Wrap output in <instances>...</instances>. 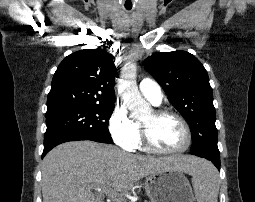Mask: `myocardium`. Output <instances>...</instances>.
Masks as SVG:
<instances>
[{
  "mask_svg": "<svg viewBox=\"0 0 255 202\" xmlns=\"http://www.w3.org/2000/svg\"><path fill=\"white\" fill-rule=\"evenodd\" d=\"M153 115L155 118H162V117H174L176 118L182 125L184 132H185V143L184 145L176 150H163L155 146L153 143L151 136H150V130L147 124L141 122V136L142 141L144 143L145 148L155 154H161V155H178L183 152H185L192 143V133L190 126L186 119L180 115L179 113L169 110V109H155L153 110Z\"/></svg>",
  "mask_w": 255,
  "mask_h": 202,
  "instance_id": "obj_1",
  "label": "myocardium"
}]
</instances>
